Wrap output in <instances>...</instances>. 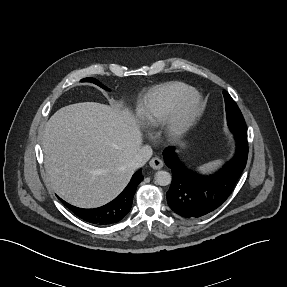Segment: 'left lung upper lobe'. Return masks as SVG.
I'll return each mask as SVG.
<instances>
[{
    "instance_id": "left-lung-upper-lobe-1",
    "label": "left lung upper lobe",
    "mask_w": 287,
    "mask_h": 287,
    "mask_svg": "<svg viewBox=\"0 0 287 287\" xmlns=\"http://www.w3.org/2000/svg\"><path fill=\"white\" fill-rule=\"evenodd\" d=\"M225 106H226V116L229 126L232 125H246L243 115L236 105L235 101L229 95L227 91H223Z\"/></svg>"
}]
</instances>
